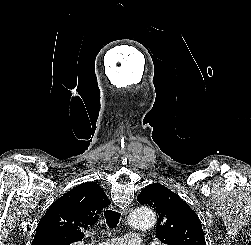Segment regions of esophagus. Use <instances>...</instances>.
Returning <instances> with one entry per match:
<instances>
[{"instance_id": "esophagus-1", "label": "esophagus", "mask_w": 251, "mask_h": 245, "mask_svg": "<svg viewBox=\"0 0 251 245\" xmlns=\"http://www.w3.org/2000/svg\"><path fill=\"white\" fill-rule=\"evenodd\" d=\"M134 210V205L131 204L129 205L123 212L122 214L126 217L129 213H131Z\"/></svg>"}]
</instances>
